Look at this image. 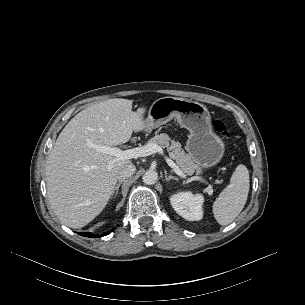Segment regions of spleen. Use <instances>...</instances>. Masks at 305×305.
Instances as JSON below:
<instances>
[{
	"label": "spleen",
	"mask_w": 305,
	"mask_h": 305,
	"mask_svg": "<svg viewBox=\"0 0 305 305\" xmlns=\"http://www.w3.org/2000/svg\"><path fill=\"white\" fill-rule=\"evenodd\" d=\"M250 188L249 172L240 164L232 174L230 184L213 203V214L220 225L230 224L243 210Z\"/></svg>",
	"instance_id": "spleen-1"
}]
</instances>
